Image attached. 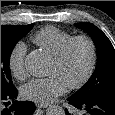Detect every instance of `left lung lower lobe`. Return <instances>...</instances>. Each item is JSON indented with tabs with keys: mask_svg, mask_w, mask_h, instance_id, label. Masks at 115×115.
<instances>
[{
	"mask_svg": "<svg viewBox=\"0 0 115 115\" xmlns=\"http://www.w3.org/2000/svg\"><path fill=\"white\" fill-rule=\"evenodd\" d=\"M68 101L77 109L85 110L86 114L84 115H115V97H99L77 101L70 96ZM66 114L71 115L67 110Z\"/></svg>",
	"mask_w": 115,
	"mask_h": 115,
	"instance_id": "1",
	"label": "left lung lower lobe"
}]
</instances>
